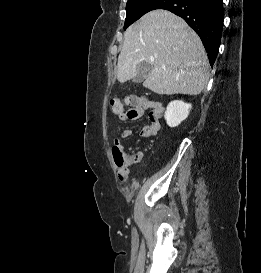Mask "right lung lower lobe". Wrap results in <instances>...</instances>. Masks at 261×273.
<instances>
[{"label":"right lung lower lobe","mask_w":261,"mask_h":273,"mask_svg":"<svg viewBox=\"0 0 261 273\" xmlns=\"http://www.w3.org/2000/svg\"><path fill=\"white\" fill-rule=\"evenodd\" d=\"M150 9H165L182 17L199 35L207 51L210 65L214 64L223 27L222 0H160Z\"/></svg>","instance_id":"1"}]
</instances>
